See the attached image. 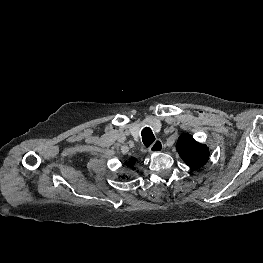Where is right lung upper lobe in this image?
<instances>
[{
	"instance_id": "1",
	"label": "right lung upper lobe",
	"mask_w": 263,
	"mask_h": 263,
	"mask_svg": "<svg viewBox=\"0 0 263 263\" xmlns=\"http://www.w3.org/2000/svg\"><path fill=\"white\" fill-rule=\"evenodd\" d=\"M135 162H136V159L132 157V158L129 160V162H126V165L129 166V167H132L133 164H135Z\"/></svg>"
}]
</instances>
